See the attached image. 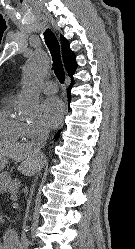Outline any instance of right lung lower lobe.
<instances>
[{
	"label": "right lung lower lobe",
	"mask_w": 135,
	"mask_h": 249,
	"mask_svg": "<svg viewBox=\"0 0 135 249\" xmlns=\"http://www.w3.org/2000/svg\"><path fill=\"white\" fill-rule=\"evenodd\" d=\"M73 83H74V80L71 79V84H70L69 88L67 89V97H68V101L69 102H70V99H71L70 91H71ZM58 136H59V132H58V134H56L55 137H58Z\"/></svg>",
	"instance_id": "98d812e1"
}]
</instances>
